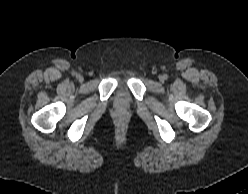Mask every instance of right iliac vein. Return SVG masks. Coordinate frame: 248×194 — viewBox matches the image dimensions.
I'll return each instance as SVG.
<instances>
[{"label":"right iliac vein","instance_id":"63e3f726","mask_svg":"<svg viewBox=\"0 0 248 194\" xmlns=\"http://www.w3.org/2000/svg\"><path fill=\"white\" fill-rule=\"evenodd\" d=\"M80 81H83V77L82 76H78Z\"/></svg>","mask_w":248,"mask_h":194}]
</instances>
